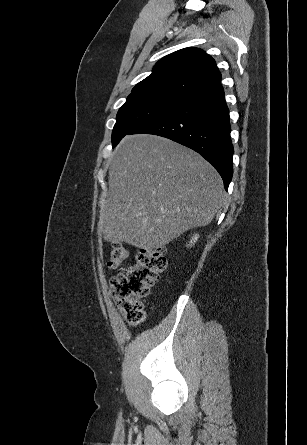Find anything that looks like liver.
Wrapping results in <instances>:
<instances>
[{
    "instance_id": "liver-1",
    "label": "liver",
    "mask_w": 307,
    "mask_h": 445,
    "mask_svg": "<svg viewBox=\"0 0 307 445\" xmlns=\"http://www.w3.org/2000/svg\"><path fill=\"white\" fill-rule=\"evenodd\" d=\"M108 184L99 210L105 241L148 253L209 225L225 198L222 178L205 158L156 134L125 136Z\"/></svg>"
}]
</instances>
